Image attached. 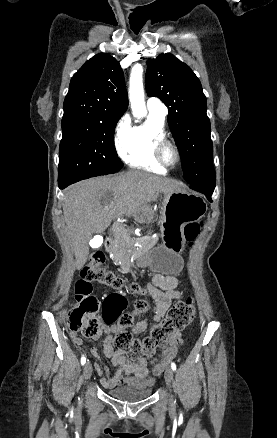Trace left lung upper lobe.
I'll return each mask as SVG.
<instances>
[{
  "label": "left lung upper lobe",
  "mask_w": 277,
  "mask_h": 438,
  "mask_svg": "<svg viewBox=\"0 0 277 438\" xmlns=\"http://www.w3.org/2000/svg\"><path fill=\"white\" fill-rule=\"evenodd\" d=\"M146 91L169 109L168 123L191 187L214 189L213 146L207 101L199 79L172 54L147 60Z\"/></svg>",
  "instance_id": "5c2ea615"
}]
</instances>
